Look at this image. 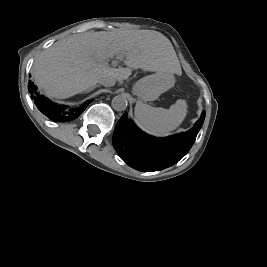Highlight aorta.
<instances>
[{"mask_svg": "<svg viewBox=\"0 0 267 267\" xmlns=\"http://www.w3.org/2000/svg\"><path fill=\"white\" fill-rule=\"evenodd\" d=\"M112 108L116 111H123L127 108L128 100L124 95H117L112 99Z\"/></svg>", "mask_w": 267, "mask_h": 267, "instance_id": "aorta-1", "label": "aorta"}]
</instances>
